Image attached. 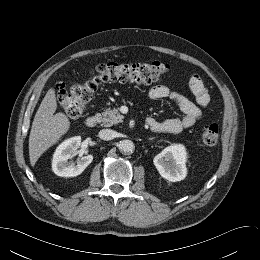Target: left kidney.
<instances>
[{
    "label": "left kidney",
    "mask_w": 260,
    "mask_h": 260,
    "mask_svg": "<svg viewBox=\"0 0 260 260\" xmlns=\"http://www.w3.org/2000/svg\"><path fill=\"white\" fill-rule=\"evenodd\" d=\"M187 152L183 145L174 144L166 147L154 157V165L159 174L171 182L183 180L187 175Z\"/></svg>",
    "instance_id": "left-kidney-1"
}]
</instances>
